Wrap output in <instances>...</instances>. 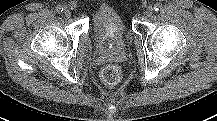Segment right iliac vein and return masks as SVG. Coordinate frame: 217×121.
Segmentation results:
<instances>
[{"mask_svg": "<svg viewBox=\"0 0 217 121\" xmlns=\"http://www.w3.org/2000/svg\"><path fill=\"white\" fill-rule=\"evenodd\" d=\"M64 15H65V17L70 18L71 15H72V12H71L69 9H66V10L64 11Z\"/></svg>", "mask_w": 217, "mask_h": 121, "instance_id": "63e3f726", "label": "right iliac vein"}]
</instances>
